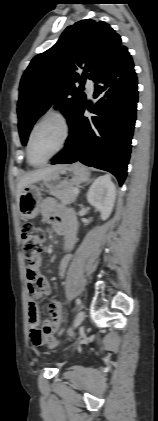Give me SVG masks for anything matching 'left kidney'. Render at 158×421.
I'll return each mask as SVG.
<instances>
[{"instance_id": "left-kidney-1", "label": "left kidney", "mask_w": 158, "mask_h": 421, "mask_svg": "<svg viewBox=\"0 0 158 421\" xmlns=\"http://www.w3.org/2000/svg\"><path fill=\"white\" fill-rule=\"evenodd\" d=\"M115 198L116 187L109 176L97 178L87 192L88 202L100 211L102 220L112 213Z\"/></svg>"}]
</instances>
